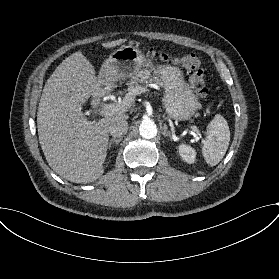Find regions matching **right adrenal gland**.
Returning <instances> with one entry per match:
<instances>
[{
	"label": "right adrenal gland",
	"instance_id": "2a0ac1e0",
	"mask_svg": "<svg viewBox=\"0 0 279 279\" xmlns=\"http://www.w3.org/2000/svg\"><path fill=\"white\" fill-rule=\"evenodd\" d=\"M121 141H122V138L113 139V140L109 141L108 150H111L113 144H115L116 149H117V147H118V145L121 143Z\"/></svg>",
	"mask_w": 279,
	"mask_h": 279
}]
</instances>
